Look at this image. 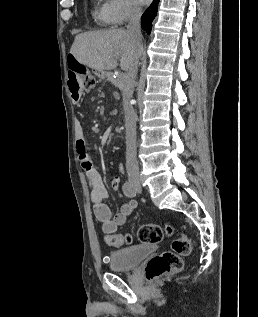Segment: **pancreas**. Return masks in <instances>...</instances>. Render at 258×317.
Wrapping results in <instances>:
<instances>
[{
	"label": "pancreas",
	"instance_id": "1",
	"mask_svg": "<svg viewBox=\"0 0 258 317\" xmlns=\"http://www.w3.org/2000/svg\"><path fill=\"white\" fill-rule=\"evenodd\" d=\"M123 78L122 77H111L110 78V83L111 84H117L118 89H124V84L123 83Z\"/></svg>",
	"mask_w": 258,
	"mask_h": 317
}]
</instances>
